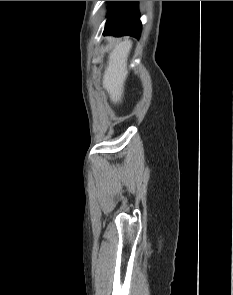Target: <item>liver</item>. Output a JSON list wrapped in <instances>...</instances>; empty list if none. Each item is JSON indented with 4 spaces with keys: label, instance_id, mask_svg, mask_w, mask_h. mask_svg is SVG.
I'll return each mask as SVG.
<instances>
[{
    "label": "liver",
    "instance_id": "1",
    "mask_svg": "<svg viewBox=\"0 0 233 295\" xmlns=\"http://www.w3.org/2000/svg\"><path fill=\"white\" fill-rule=\"evenodd\" d=\"M131 48L132 42L127 38L118 42L108 56L102 85L114 104L122 100L124 84L128 76L127 59Z\"/></svg>",
    "mask_w": 233,
    "mask_h": 295
}]
</instances>
